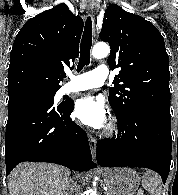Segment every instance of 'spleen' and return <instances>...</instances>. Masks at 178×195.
<instances>
[{
    "label": "spleen",
    "mask_w": 178,
    "mask_h": 195,
    "mask_svg": "<svg viewBox=\"0 0 178 195\" xmlns=\"http://www.w3.org/2000/svg\"><path fill=\"white\" fill-rule=\"evenodd\" d=\"M142 186L150 195H161L162 182L159 175L147 171L142 179Z\"/></svg>",
    "instance_id": "spleen-1"
}]
</instances>
